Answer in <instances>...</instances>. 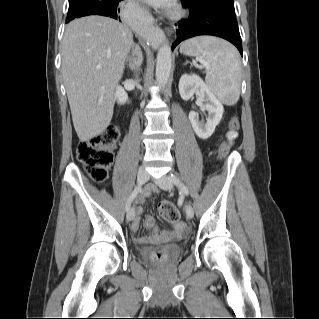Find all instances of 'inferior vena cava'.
<instances>
[{
    "label": "inferior vena cava",
    "instance_id": "602c4592",
    "mask_svg": "<svg viewBox=\"0 0 319 319\" xmlns=\"http://www.w3.org/2000/svg\"><path fill=\"white\" fill-rule=\"evenodd\" d=\"M134 54L136 55V58H134L135 67H134L133 70L138 69V67L141 65L142 60H143L142 52H141L139 46H136V47H135V51H134L133 55H134Z\"/></svg>",
    "mask_w": 319,
    "mask_h": 319
}]
</instances>
